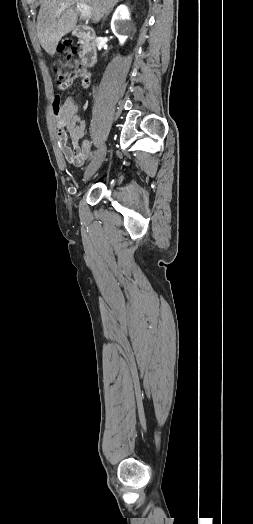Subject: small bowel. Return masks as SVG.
Instances as JSON below:
<instances>
[{
  "mask_svg": "<svg viewBox=\"0 0 253 524\" xmlns=\"http://www.w3.org/2000/svg\"><path fill=\"white\" fill-rule=\"evenodd\" d=\"M54 120L63 158L73 166L83 165L87 160L91 145L86 140L82 141L86 123L80 118L79 106L73 98L69 97L60 102L57 111L54 107ZM68 138L71 140V147L67 145Z\"/></svg>",
  "mask_w": 253,
  "mask_h": 524,
  "instance_id": "small-bowel-1",
  "label": "small bowel"
}]
</instances>
